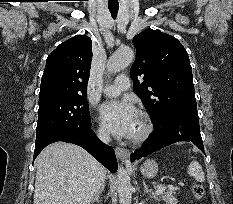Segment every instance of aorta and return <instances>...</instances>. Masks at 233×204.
<instances>
[{"mask_svg":"<svg viewBox=\"0 0 233 204\" xmlns=\"http://www.w3.org/2000/svg\"><path fill=\"white\" fill-rule=\"evenodd\" d=\"M134 51L129 47L119 48L113 53L107 62V69L110 73H117L132 63ZM118 193L120 204H131L133 188L130 176L126 169H118Z\"/></svg>","mask_w":233,"mask_h":204,"instance_id":"762f6f07","label":"aorta"}]
</instances>
